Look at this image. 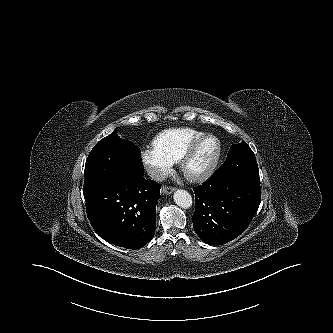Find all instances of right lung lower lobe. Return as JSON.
Listing matches in <instances>:
<instances>
[{"label":"right lung lower lobe","mask_w":333,"mask_h":333,"mask_svg":"<svg viewBox=\"0 0 333 333\" xmlns=\"http://www.w3.org/2000/svg\"><path fill=\"white\" fill-rule=\"evenodd\" d=\"M160 188L143 173L83 188L87 216L95 232L119 247L146 245L155 234Z\"/></svg>","instance_id":"obj_1"}]
</instances>
